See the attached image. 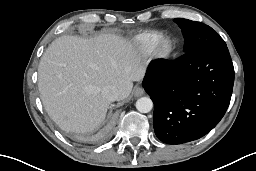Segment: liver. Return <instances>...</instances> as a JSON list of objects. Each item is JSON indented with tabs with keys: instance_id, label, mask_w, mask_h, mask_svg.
<instances>
[{
	"instance_id": "liver-1",
	"label": "liver",
	"mask_w": 256,
	"mask_h": 171,
	"mask_svg": "<svg viewBox=\"0 0 256 171\" xmlns=\"http://www.w3.org/2000/svg\"><path fill=\"white\" fill-rule=\"evenodd\" d=\"M144 71L137 51L119 36H62L41 57L38 88L45 110L62 130L87 133L105 119L110 101L102 89L115 86L123 100Z\"/></svg>"
}]
</instances>
